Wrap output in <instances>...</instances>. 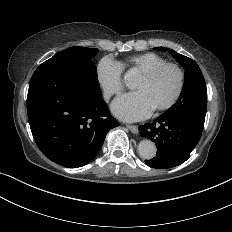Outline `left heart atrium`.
<instances>
[{
	"label": "left heart atrium",
	"instance_id": "39dd6f15",
	"mask_svg": "<svg viewBox=\"0 0 232 232\" xmlns=\"http://www.w3.org/2000/svg\"><path fill=\"white\" fill-rule=\"evenodd\" d=\"M113 115L123 121L133 122L149 117L154 107L140 91H134L117 98L111 105Z\"/></svg>",
	"mask_w": 232,
	"mask_h": 232
}]
</instances>
